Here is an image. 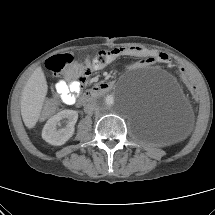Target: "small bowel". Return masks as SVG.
<instances>
[{
	"label": "small bowel",
	"instance_id": "1",
	"mask_svg": "<svg viewBox=\"0 0 215 215\" xmlns=\"http://www.w3.org/2000/svg\"><path fill=\"white\" fill-rule=\"evenodd\" d=\"M120 57H136L140 61L130 64L129 68L151 65L155 63H168L169 56L158 50L148 49L138 46L115 47L110 50H103L96 53L92 58L86 59L85 64L87 70L71 83L59 80L55 89L59 94L63 103L73 105L77 101V97L83 89L84 83L88 80L92 72L103 69L105 66Z\"/></svg>",
	"mask_w": 215,
	"mask_h": 215
}]
</instances>
